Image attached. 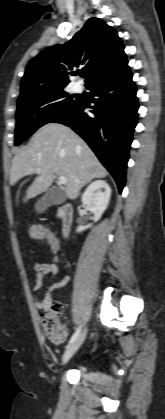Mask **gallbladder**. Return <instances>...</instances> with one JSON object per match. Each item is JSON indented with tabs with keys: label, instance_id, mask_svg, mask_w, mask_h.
Instances as JSON below:
<instances>
[{
	"label": "gallbladder",
	"instance_id": "bac80fb5",
	"mask_svg": "<svg viewBox=\"0 0 165 419\" xmlns=\"http://www.w3.org/2000/svg\"><path fill=\"white\" fill-rule=\"evenodd\" d=\"M66 200V194L59 188H51L36 202L35 210L44 212L51 205L62 204Z\"/></svg>",
	"mask_w": 165,
	"mask_h": 419
}]
</instances>
